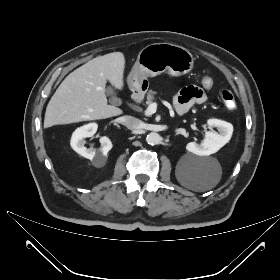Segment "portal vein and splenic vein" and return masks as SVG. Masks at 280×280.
I'll return each instance as SVG.
<instances>
[{
  "mask_svg": "<svg viewBox=\"0 0 280 280\" xmlns=\"http://www.w3.org/2000/svg\"><path fill=\"white\" fill-rule=\"evenodd\" d=\"M156 110H157V103L153 102L147 107L144 114L146 116H150V115H153L154 113H156Z\"/></svg>",
  "mask_w": 280,
  "mask_h": 280,
  "instance_id": "18ae733b",
  "label": "portal vein and splenic vein"
}]
</instances>
